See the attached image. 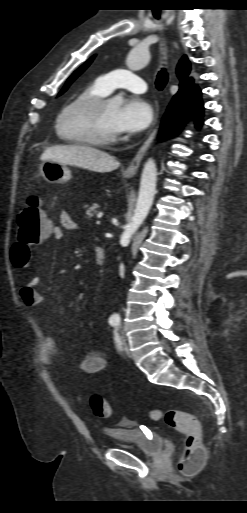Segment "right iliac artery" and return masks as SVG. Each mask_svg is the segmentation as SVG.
Returning <instances> with one entry per match:
<instances>
[{
    "label": "right iliac artery",
    "instance_id": "right-iliac-artery-1",
    "mask_svg": "<svg viewBox=\"0 0 247 513\" xmlns=\"http://www.w3.org/2000/svg\"><path fill=\"white\" fill-rule=\"evenodd\" d=\"M110 324L111 325H118L119 324V320L118 319H111L110 320Z\"/></svg>",
    "mask_w": 247,
    "mask_h": 513
}]
</instances>
